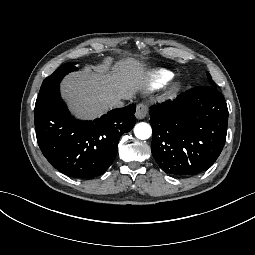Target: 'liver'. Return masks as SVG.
Returning a JSON list of instances; mask_svg holds the SVG:
<instances>
[{"instance_id": "1", "label": "liver", "mask_w": 255, "mask_h": 255, "mask_svg": "<svg viewBox=\"0 0 255 255\" xmlns=\"http://www.w3.org/2000/svg\"><path fill=\"white\" fill-rule=\"evenodd\" d=\"M147 76L145 65L131 57L111 68L108 62L93 68L86 66L65 77L61 83L62 96L77 118L90 120L105 114L111 100H129L138 91H145Z\"/></svg>"}]
</instances>
